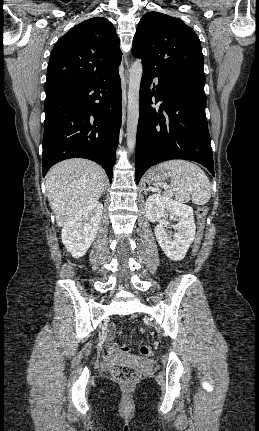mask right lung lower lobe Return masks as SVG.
Here are the masks:
<instances>
[{"label":"right lung lower lobe","instance_id":"right-lung-lower-lobe-1","mask_svg":"<svg viewBox=\"0 0 259 431\" xmlns=\"http://www.w3.org/2000/svg\"><path fill=\"white\" fill-rule=\"evenodd\" d=\"M121 114L118 72L105 79L47 91L43 176L59 161L86 158L101 165L111 182Z\"/></svg>","mask_w":259,"mask_h":431}]
</instances>
